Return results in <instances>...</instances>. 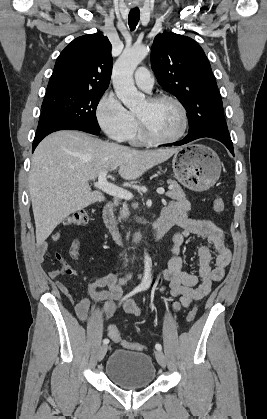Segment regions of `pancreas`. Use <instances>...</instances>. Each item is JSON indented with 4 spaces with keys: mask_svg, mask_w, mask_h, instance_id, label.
Wrapping results in <instances>:
<instances>
[{
    "mask_svg": "<svg viewBox=\"0 0 267 419\" xmlns=\"http://www.w3.org/2000/svg\"><path fill=\"white\" fill-rule=\"evenodd\" d=\"M168 184L170 185V190L166 193L168 197L171 199L182 201L186 199L185 193L183 192L180 185L175 180H169ZM129 216V211L127 205H123V207L120 210V218L119 219H125Z\"/></svg>",
    "mask_w": 267,
    "mask_h": 419,
    "instance_id": "obj_1",
    "label": "pancreas"
}]
</instances>
